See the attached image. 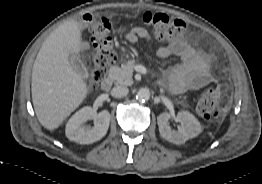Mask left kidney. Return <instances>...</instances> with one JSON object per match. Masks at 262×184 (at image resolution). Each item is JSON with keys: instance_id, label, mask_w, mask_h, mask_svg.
I'll return each instance as SVG.
<instances>
[{"instance_id": "obj_1", "label": "left kidney", "mask_w": 262, "mask_h": 184, "mask_svg": "<svg viewBox=\"0 0 262 184\" xmlns=\"http://www.w3.org/2000/svg\"><path fill=\"white\" fill-rule=\"evenodd\" d=\"M170 117L169 113H161L157 117L160 135L169 142L183 144L202 132L199 121L188 111H181L177 114V120L181 123L177 131L172 130L169 126L168 120Z\"/></svg>"}]
</instances>
